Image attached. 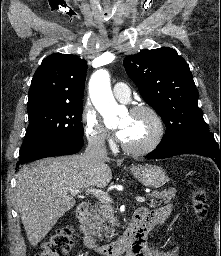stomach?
<instances>
[{
	"instance_id": "1",
	"label": "stomach",
	"mask_w": 221,
	"mask_h": 256,
	"mask_svg": "<svg viewBox=\"0 0 221 256\" xmlns=\"http://www.w3.org/2000/svg\"><path fill=\"white\" fill-rule=\"evenodd\" d=\"M131 172L144 186L160 188L167 181V174L164 169L153 165H140L131 168Z\"/></svg>"
}]
</instances>
